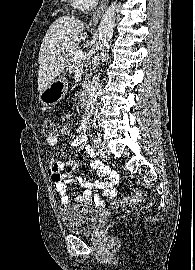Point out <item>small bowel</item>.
Returning <instances> with one entry per match:
<instances>
[{"mask_svg":"<svg viewBox=\"0 0 195 270\" xmlns=\"http://www.w3.org/2000/svg\"><path fill=\"white\" fill-rule=\"evenodd\" d=\"M68 116L66 117V120ZM84 123L79 127L77 135L72 141L73 146H80L82 150L90 156L91 163L90 166L96 171L97 179L95 181H87L84 177H75L73 171L76 167L73 161H60L56 160L52 156L48 173L51 177L54 189L60 196V201L62 204H69L71 202L70 196L67 194V185L72 182H76L82 187L83 191L74 198L76 202H90L96 205H102L103 201L100 199L98 192H101L107 198H114L117 194L115 185L118 181V175L116 171L111 169L108 165L101 162L97 157L88 143L87 135L84 133ZM69 129L63 126L57 133H54L51 137L47 139V144L50 147H55L59 138L62 135H68ZM68 170V174L63 175L62 171ZM102 178H107L106 181Z\"/></svg>","mask_w":195,"mask_h":270,"instance_id":"obj_1","label":"small bowel"}]
</instances>
